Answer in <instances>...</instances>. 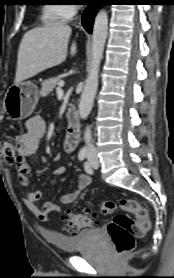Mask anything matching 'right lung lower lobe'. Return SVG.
<instances>
[{
  "label": "right lung lower lobe",
  "mask_w": 174,
  "mask_h": 278,
  "mask_svg": "<svg viewBox=\"0 0 174 278\" xmlns=\"http://www.w3.org/2000/svg\"><path fill=\"white\" fill-rule=\"evenodd\" d=\"M105 0H90L88 4V8L85 10L83 17H82V24L84 28L88 31V33H92L93 21L96 12L104 3Z\"/></svg>",
  "instance_id": "98d812e1"
}]
</instances>
